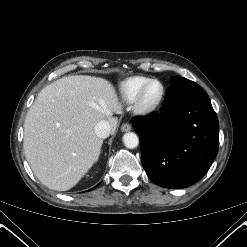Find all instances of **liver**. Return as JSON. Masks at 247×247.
<instances>
[{
  "instance_id": "6515ba94",
  "label": "liver",
  "mask_w": 247,
  "mask_h": 247,
  "mask_svg": "<svg viewBox=\"0 0 247 247\" xmlns=\"http://www.w3.org/2000/svg\"><path fill=\"white\" fill-rule=\"evenodd\" d=\"M121 112L114 86L103 78L65 76L47 85L24 123V151L35 176L53 190L74 187L99 158L96 124L107 120L115 132L113 113Z\"/></svg>"
}]
</instances>
